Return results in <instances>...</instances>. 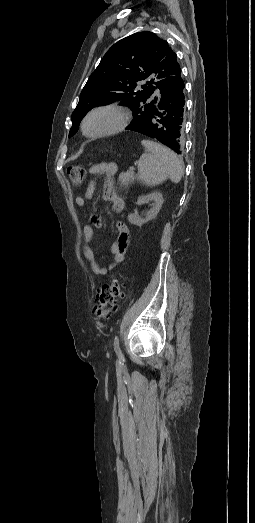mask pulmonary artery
Wrapping results in <instances>:
<instances>
[{"instance_id":"e3ab8cb5","label":"pulmonary artery","mask_w":255,"mask_h":523,"mask_svg":"<svg viewBox=\"0 0 255 523\" xmlns=\"http://www.w3.org/2000/svg\"><path fill=\"white\" fill-rule=\"evenodd\" d=\"M156 93H159V90H156ZM153 98H156V95H153ZM158 98H161V95H158ZM154 105H155L156 107H159V106L161 105V102H160L159 100H156V101L154 102Z\"/></svg>"}]
</instances>
